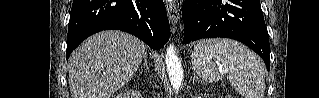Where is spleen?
<instances>
[{
    "label": "spleen",
    "mask_w": 319,
    "mask_h": 98,
    "mask_svg": "<svg viewBox=\"0 0 319 98\" xmlns=\"http://www.w3.org/2000/svg\"><path fill=\"white\" fill-rule=\"evenodd\" d=\"M192 65L198 76L207 82H217L225 73L232 87L244 98H264L263 63L239 42L229 39L201 40L194 46Z\"/></svg>",
    "instance_id": "obj_1"
}]
</instances>
